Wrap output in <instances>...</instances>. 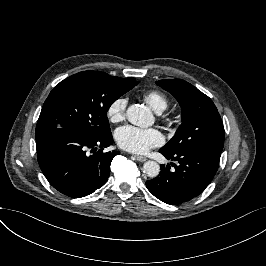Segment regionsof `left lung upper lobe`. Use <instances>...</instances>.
Masks as SVG:
<instances>
[{"label": "left lung upper lobe", "mask_w": 266, "mask_h": 266, "mask_svg": "<svg viewBox=\"0 0 266 266\" xmlns=\"http://www.w3.org/2000/svg\"><path fill=\"white\" fill-rule=\"evenodd\" d=\"M156 84L170 92L182 109V124L162 148L173 153L191 147H205L222 152L224 127L213 101L181 79L160 80Z\"/></svg>", "instance_id": "1"}]
</instances>
